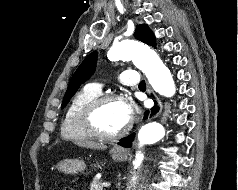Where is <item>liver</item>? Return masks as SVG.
Here are the masks:
<instances>
[{
  "instance_id": "obj_1",
  "label": "liver",
  "mask_w": 238,
  "mask_h": 190,
  "mask_svg": "<svg viewBox=\"0 0 238 190\" xmlns=\"http://www.w3.org/2000/svg\"><path fill=\"white\" fill-rule=\"evenodd\" d=\"M76 144L78 146L85 147V148H90V149L105 150L107 148V146L104 145V144L90 142V141L76 142Z\"/></svg>"
}]
</instances>
